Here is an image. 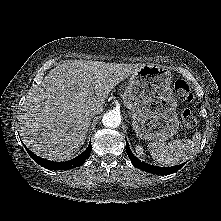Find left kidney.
<instances>
[{
	"label": "left kidney",
	"instance_id": "5707ae66",
	"mask_svg": "<svg viewBox=\"0 0 221 221\" xmlns=\"http://www.w3.org/2000/svg\"><path fill=\"white\" fill-rule=\"evenodd\" d=\"M135 152H136L137 155L140 156V157H145V155H146L145 152H144L143 147L140 146V145H136V146H135Z\"/></svg>",
	"mask_w": 221,
	"mask_h": 221
}]
</instances>
